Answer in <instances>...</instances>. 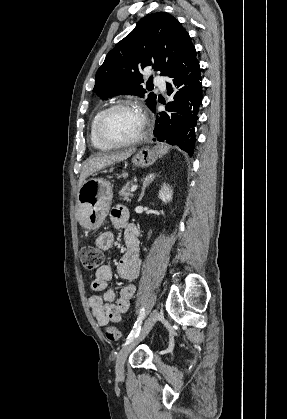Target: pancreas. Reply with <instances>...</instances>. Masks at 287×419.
<instances>
[{
  "label": "pancreas",
  "mask_w": 287,
  "mask_h": 419,
  "mask_svg": "<svg viewBox=\"0 0 287 419\" xmlns=\"http://www.w3.org/2000/svg\"><path fill=\"white\" fill-rule=\"evenodd\" d=\"M133 184L132 182L126 183L119 192V195L124 198V200L129 201V197H132L133 194L130 192Z\"/></svg>",
  "instance_id": "1"
}]
</instances>
